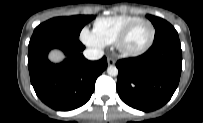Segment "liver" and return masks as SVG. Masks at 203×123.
I'll return each instance as SVG.
<instances>
[{
	"mask_svg": "<svg viewBox=\"0 0 203 123\" xmlns=\"http://www.w3.org/2000/svg\"><path fill=\"white\" fill-rule=\"evenodd\" d=\"M65 58L64 53L57 48L50 50L48 59L53 63H59Z\"/></svg>",
	"mask_w": 203,
	"mask_h": 123,
	"instance_id": "6515ba94",
	"label": "liver"
}]
</instances>
